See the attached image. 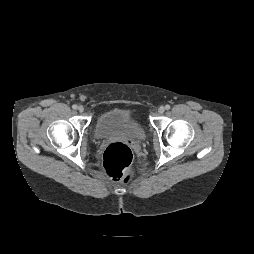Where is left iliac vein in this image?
Returning a JSON list of instances; mask_svg holds the SVG:
<instances>
[{
    "mask_svg": "<svg viewBox=\"0 0 254 254\" xmlns=\"http://www.w3.org/2000/svg\"><path fill=\"white\" fill-rule=\"evenodd\" d=\"M164 111H165V108L163 106L159 107V109H158L159 114H163Z\"/></svg>",
    "mask_w": 254,
    "mask_h": 254,
    "instance_id": "4c4485c4",
    "label": "left iliac vein"
}]
</instances>
